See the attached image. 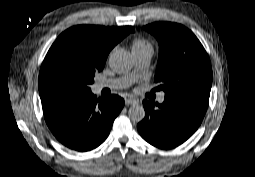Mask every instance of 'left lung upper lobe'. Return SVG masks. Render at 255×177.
I'll return each mask as SVG.
<instances>
[{
	"label": "left lung upper lobe",
	"instance_id": "left-lung-upper-lobe-1",
	"mask_svg": "<svg viewBox=\"0 0 255 177\" xmlns=\"http://www.w3.org/2000/svg\"><path fill=\"white\" fill-rule=\"evenodd\" d=\"M144 29L159 43L155 81L166 98L205 97L209 99L212 69L208 55L197 37L186 27L157 22Z\"/></svg>",
	"mask_w": 255,
	"mask_h": 177
}]
</instances>
